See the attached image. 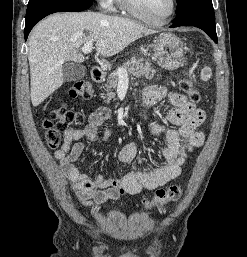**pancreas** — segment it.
<instances>
[{
  "label": "pancreas",
  "instance_id": "pancreas-1",
  "mask_svg": "<svg viewBox=\"0 0 247 257\" xmlns=\"http://www.w3.org/2000/svg\"><path fill=\"white\" fill-rule=\"evenodd\" d=\"M122 68L125 69L127 73L132 74L136 78H146L151 80L156 74V71L151 66V64L148 61L143 62V59L132 58L130 61L124 63ZM118 81L119 78L117 72L111 73L107 78L105 84L107 93L101 95L103 99L107 98L105 100L107 104L110 102V98L113 96L112 89L117 87Z\"/></svg>",
  "mask_w": 247,
  "mask_h": 257
}]
</instances>
